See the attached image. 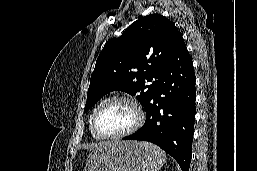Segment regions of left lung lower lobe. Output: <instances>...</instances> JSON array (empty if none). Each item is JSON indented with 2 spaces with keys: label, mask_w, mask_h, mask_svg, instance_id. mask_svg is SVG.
Returning a JSON list of instances; mask_svg holds the SVG:
<instances>
[{
  "label": "left lung lower lobe",
  "mask_w": 257,
  "mask_h": 171,
  "mask_svg": "<svg viewBox=\"0 0 257 171\" xmlns=\"http://www.w3.org/2000/svg\"><path fill=\"white\" fill-rule=\"evenodd\" d=\"M195 99V73L185 45L170 56L159 76L145 107V124L123 140L152 142L170 154L182 171H189Z\"/></svg>",
  "instance_id": "1"
}]
</instances>
